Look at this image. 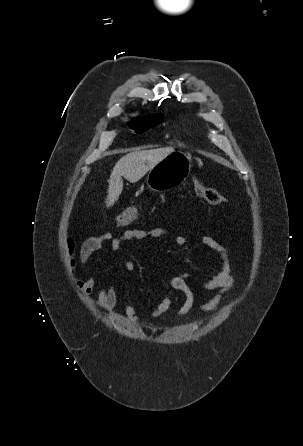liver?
I'll return each mask as SVG.
<instances>
[{"label": "liver", "instance_id": "obj_1", "mask_svg": "<svg viewBox=\"0 0 303 446\" xmlns=\"http://www.w3.org/2000/svg\"><path fill=\"white\" fill-rule=\"evenodd\" d=\"M174 152V148L133 151L123 156L114 166L108 180L106 206L111 207L119 199L123 189L124 177L131 183L140 180L148 171L166 156Z\"/></svg>", "mask_w": 303, "mask_h": 446}]
</instances>
